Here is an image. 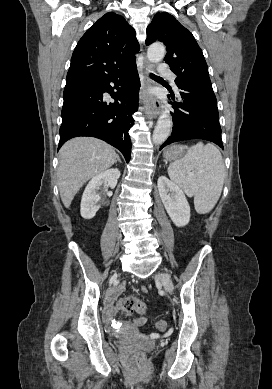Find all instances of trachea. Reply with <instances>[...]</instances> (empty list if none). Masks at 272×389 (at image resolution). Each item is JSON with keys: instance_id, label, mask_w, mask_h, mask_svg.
<instances>
[{"instance_id": "3493384b", "label": "trachea", "mask_w": 272, "mask_h": 389, "mask_svg": "<svg viewBox=\"0 0 272 389\" xmlns=\"http://www.w3.org/2000/svg\"><path fill=\"white\" fill-rule=\"evenodd\" d=\"M150 76L153 77V78L158 77V76H156V75H154V74H150Z\"/></svg>"}]
</instances>
